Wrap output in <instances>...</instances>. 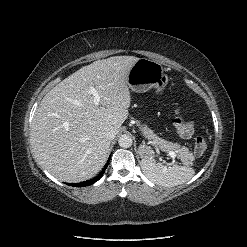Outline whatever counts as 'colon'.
Listing matches in <instances>:
<instances>
[{
	"mask_svg": "<svg viewBox=\"0 0 247 247\" xmlns=\"http://www.w3.org/2000/svg\"><path fill=\"white\" fill-rule=\"evenodd\" d=\"M175 127L178 134L185 139L193 136L195 131V122L192 118L179 115L175 119ZM207 148V141L205 137L199 135L194 140V152L196 155H202Z\"/></svg>",
	"mask_w": 247,
	"mask_h": 247,
	"instance_id": "colon-1",
	"label": "colon"
}]
</instances>
